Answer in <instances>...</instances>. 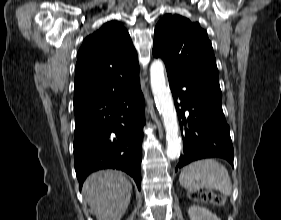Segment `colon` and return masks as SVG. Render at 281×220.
<instances>
[{
  "instance_id": "1",
  "label": "colon",
  "mask_w": 281,
  "mask_h": 220,
  "mask_svg": "<svg viewBox=\"0 0 281 220\" xmlns=\"http://www.w3.org/2000/svg\"><path fill=\"white\" fill-rule=\"evenodd\" d=\"M190 197L196 201L215 205H222L224 203L223 196L208 191H193L190 193Z\"/></svg>"
}]
</instances>
